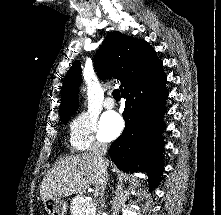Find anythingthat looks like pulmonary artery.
Masks as SVG:
<instances>
[{
    "mask_svg": "<svg viewBox=\"0 0 221 215\" xmlns=\"http://www.w3.org/2000/svg\"><path fill=\"white\" fill-rule=\"evenodd\" d=\"M103 105L106 109H112L115 106V102L111 97H108L104 100Z\"/></svg>",
    "mask_w": 221,
    "mask_h": 215,
    "instance_id": "obj_1",
    "label": "pulmonary artery"
}]
</instances>
